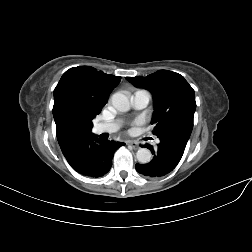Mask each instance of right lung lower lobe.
Returning a JSON list of instances; mask_svg holds the SVG:
<instances>
[{"instance_id": "98d812e1", "label": "right lung lower lobe", "mask_w": 252, "mask_h": 252, "mask_svg": "<svg viewBox=\"0 0 252 252\" xmlns=\"http://www.w3.org/2000/svg\"><path fill=\"white\" fill-rule=\"evenodd\" d=\"M124 143L84 136L62 152L70 166L83 176L102 177L112 166L114 152Z\"/></svg>"}]
</instances>
